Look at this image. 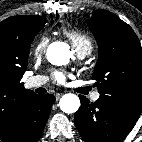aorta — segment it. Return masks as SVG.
Segmentation results:
<instances>
[{
	"label": "aorta",
	"instance_id": "obj_1",
	"mask_svg": "<svg viewBox=\"0 0 142 142\" xmlns=\"http://www.w3.org/2000/svg\"><path fill=\"white\" fill-rule=\"evenodd\" d=\"M47 58L53 65H66L71 58L70 46L64 42L52 43L47 49ZM59 106L67 114L75 113L80 107V99L75 94H65L60 99Z\"/></svg>",
	"mask_w": 142,
	"mask_h": 142
}]
</instances>
